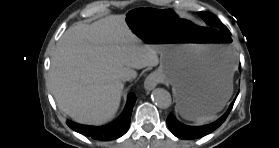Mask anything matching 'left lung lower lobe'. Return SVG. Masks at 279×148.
Returning a JSON list of instances; mask_svg holds the SVG:
<instances>
[{
  "instance_id": "0a47b994",
  "label": "left lung lower lobe",
  "mask_w": 279,
  "mask_h": 148,
  "mask_svg": "<svg viewBox=\"0 0 279 148\" xmlns=\"http://www.w3.org/2000/svg\"><path fill=\"white\" fill-rule=\"evenodd\" d=\"M234 101L230 104L229 109L221 118L209 125L200 127L187 126L177 121L172 114L167 117V125L170 128L171 132L180 139H196L203 137L214 131L225 121L226 117L233 107Z\"/></svg>"
}]
</instances>
